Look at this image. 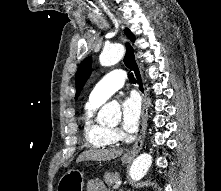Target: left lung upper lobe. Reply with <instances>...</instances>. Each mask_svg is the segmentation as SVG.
Segmentation results:
<instances>
[{"label": "left lung upper lobe", "instance_id": "1", "mask_svg": "<svg viewBox=\"0 0 221 191\" xmlns=\"http://www.w3.org/2000/svg\"><path fill=\"white\" fill-rule=\"evenodd\" d=\"M124 32H125L126 36L132 42H134L135 37H134L133 33L129 29H125ZM91 64H92V57L85 58L76 72V77H75L76 96H75V98H77L79 96L80 91L82 90L85 82L87 81V79L89 78V76L91 74V72H90Z\"/></svg>", "mask_w": 221, "mask_h": 191}]
</instances>
